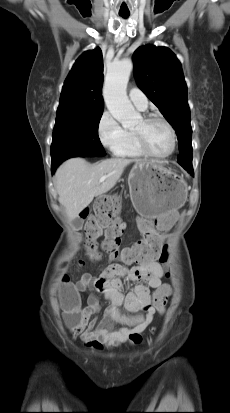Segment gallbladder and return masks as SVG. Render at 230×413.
I'll use <instances>...</instances> for the list:
<instances>
[{"mask_svg": "<svg viewBox=\"0 0 230 413\" xmlns=\"http://www.w3.org/2000/svg\"><path fill=\"white\" fill-rule=\"evenodd\" d=\"M74 225H75L76 227H79V226L81 225V222H80L79 220H75V221H74Z\"/></svg>", "mask_w": 230, "mask_h": 413, "instance_id": "gallbladder-1", "label": "gallbladder"}]
</instances>
